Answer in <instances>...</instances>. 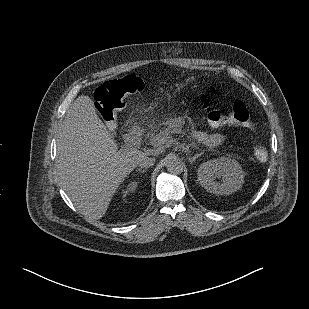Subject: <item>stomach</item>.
<instances>
[{"mask_svg": "<svg viewBox=\"0 0 309 309\" xmlns=\"http://www.w3.org/2000/svg\"><path fill=\"white\" fill-rule=\"evenodd\" d=\"M176 123H178L180 126L182 125V122L175 120Z\"/></svg>", "mask_w": 309, "mask_h": 309, "instance_id": "1", "label": "stomach"}]
</instances>
